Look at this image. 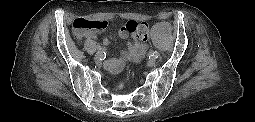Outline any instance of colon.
I'll use <instances>...</instances> for the list:
<instances>
[{"label":"colon","instance_id":"obj_1","mask_svg":"<svg viewBox=\"0 0 255 122\" xmlns=\"http://www.w3.org/2000/svg\"><path fill=\"white\" fill-rule=\"evenodd\" d=\"M108 23L104 20H89L85 18L75 19L72 25L73 32L79 38H82L89 31H103ZM124 27L129 32H136L140 40H144L148 36V24L137 22L134 20L127 21ZM119 88L123 89L124 84L119 83Z\"/></svg>","mask_w":255,"mask_h":122}]
</instances>
